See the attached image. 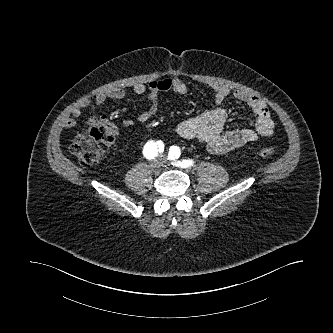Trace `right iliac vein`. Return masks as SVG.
I'll use <instances>...</instances> for the list:
<instances>
[{
  "label": "right iliac vein",
  "instance_id": "right-iliac-vein-1",
  "mask_svg": "<svg viewBox=\"0 0 333 333\" xmlns=\"http://www.w3.org/2000/svg\"><path fill=\"white\" fill-rule=\"evenodd\" d=\"M162 162L160 160H154L152 163H151V168H152V171L155 172V173H158L161 171L162 169Z\"/></svg>",
  "mask_w": 333,
  "mask_h": 333
}]
</instances>
